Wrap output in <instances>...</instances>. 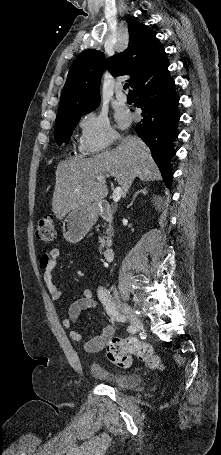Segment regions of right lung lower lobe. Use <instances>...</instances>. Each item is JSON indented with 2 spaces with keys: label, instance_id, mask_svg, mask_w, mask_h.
Returning <instances> with one entry per match:
<instances>
[{
  "label": "right lung lower lobe",
  "instance_id": "1",
  "mask_svg": "<svg viewBox=\"0 0 221 455\" xmlns=\"http://www.w3.org/2000/svg\"><path fill=\"white\" fill-rule=\"evenodd\" d=\"M166 53L149 66L133 87L134 105L142 109L143 119L136 125L138 136L149 146L165 185L170 186V160L176 151L173 142L178 136L179 97L168 71Z\"/></svg>",
  "mask_w": 221,
  "mask_h": 455
}]
</instances>
